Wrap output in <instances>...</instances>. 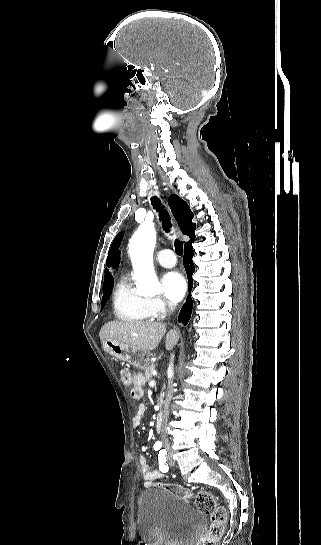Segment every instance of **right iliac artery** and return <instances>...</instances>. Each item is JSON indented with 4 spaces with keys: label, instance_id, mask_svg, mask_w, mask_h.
<instances>
[{
    "label": "right iliac artery",
    "instance_id": "obj_1",
    "mask_svg": "<svg viewBox=\"0 0 321 545\" xmlns=\"http://www.w3.org/2000/svg\"><path fill=\"white\" fill-rule=\"evenodd\" d=\"M161 447H162V444H161L160 442H156V443L154 444V449H155V450H159Z\"/></svg>",
    "mask_w": 321,
    "mask_h": 545
}]
</instances>
